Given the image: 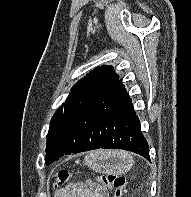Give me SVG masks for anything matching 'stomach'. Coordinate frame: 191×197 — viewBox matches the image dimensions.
I'll return each instance as SVG.
<instances>
[{"label": "stomach", "mask_w": 191, "mask_h": 197, "mask_svg": "<svg viewBox=\"0 0 191 197\" xmlns=\"http://www.w3.org/2000/svg\"><path fill=\"white\" fill-rule=\"evenodd\" d=\"M132 163L122 151H93L84 158L86 166L101 174H125Z\"/></svg>", "instance_id": "stomach-1"}]
</instances>
